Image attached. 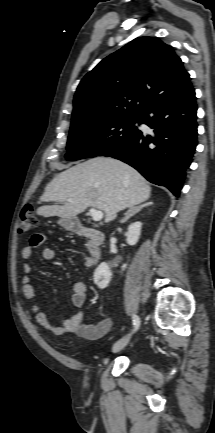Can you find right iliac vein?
Returning <instances> with one entry per match:
<instances>
[{
  "mask_svg": "<svg viewBox=\"0 0 215 433\" xmlns=\"http://www.w3.org/2000/svg\"><path fill=\"white\" fill-rule=\"evenodd\" d=\"M129 342V337H123L122 339L118 340L112 347V352L117 353L125 348V346Z\"/></svg>",
  "mask_w": 215,
  "mask_h": 433,
  "instance_id": "right-iliac-vein-1",
  "label": "right iliac vein"
}]
</instances>
